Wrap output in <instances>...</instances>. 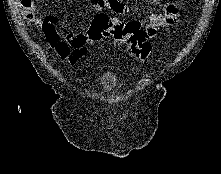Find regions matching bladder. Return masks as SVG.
<instances>
[{"label":"bladder","mask_w":221,"mask_h":174,"mask_svg":"<svg viewBox=\"0 0 221 174\" xmlns=\"http://www.w3.org/2000/svg\"><path fill=\"white\" fill-rule=\"evenodd\" d=\"M118 75L113 71L105 72L101 77V83L106 91H111L118 84Z\"/></svg>","instance_id":"obj_1"}]
</instances>
